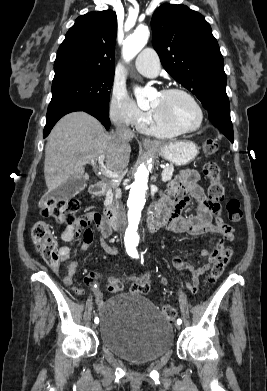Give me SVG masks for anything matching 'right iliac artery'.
<instances>
[{
    "label": "right iliac artery",
    "mask_w": 267,
    "mask_h": 391,
    "mask_svg": "<svg viewBox=\"0 0 267 391\" xmlns=\"http://www.w3.org/2000/svg\"><path fill=\"white\" fill-rule=\"evenodd\" d=\"M94 322H95V323H98V322H99V319H98V318H95Z\"/></svg>",
    "instance_id": "1"
}]
</instances>
